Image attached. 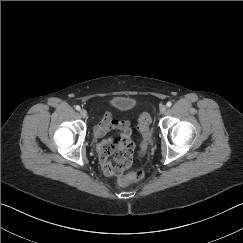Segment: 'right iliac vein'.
Here are the masks:
<instances>
[{
  "label": "right iliac vein",
  "instance_id": "1",
  "mask_svg": "<svg viewBox=\"0 0 243 243\" xmlns=\"http://www.w3.org/2000/svg\"><path fill=\"white\" fill-rule=\"evenodd\" d=\"M80 115H81L82 118H87L88 114H87V111L85 109H81L80 110Z\"/></svg>",
  "mask_w": 243,
  "mask_h": 243
}]
</instances>
